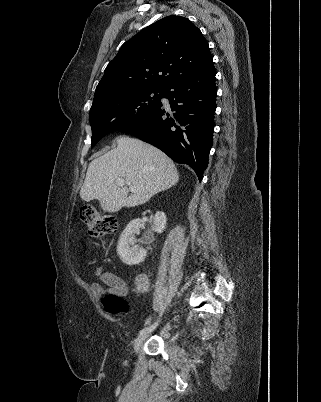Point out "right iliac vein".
<instances>
[{"instance_id": "right-iliac-vein-1", "label": "right iliac vein", "mask_w": 321, "mask_h": 402, "mask_svg": "<svg viewBox=\"0 0 321 402\" xmlns=\"http://www.w3.org/2000/svg\"><path fill=\"white\" fill-rule=\"evenodd\" d=\"M148 338V334H142L137 337V339L134 341V351L138 352L139 348L143 344V342Z\"/></svg>"}]
</instances>
